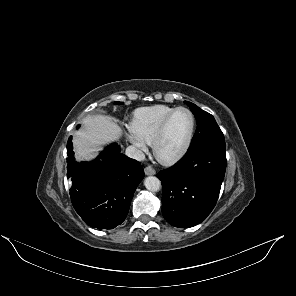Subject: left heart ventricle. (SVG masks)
<instances>
[{
  "label": "left heart ventricle",
  "mask_w": 296,
  "mask_h": 296,
  "mask_svg": "<svg viewBox=\"0 0 296 296\" xmlns=\"http://www.w3.org/2000/svg\"><path fill=\"white\" fill-rule=\"evenodd\" d=\"M191 124L188 112L179 111L174 115L159 146V154L162 157L171 156L182 148L189 135Z\"/></svg>",
  "instance_id": "1"
}]
</instances>
